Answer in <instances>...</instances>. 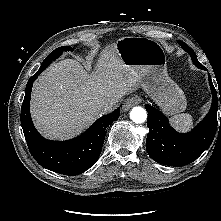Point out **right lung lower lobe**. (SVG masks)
Returning <instances> with one entry per match:
<instances>
[{
	"mask_svg": "<svg viewBox=\"0 0 221 221\" xmlns=\"http://www.w3.org/2000/svg\"><path fill=\"white\" fill-rule=\"evenodd\" d=\"M50 63L41 65L29 79L21 107V125L28 148L34 159L44 168L64 175L75 176L89 169L99 158L107 127L118 119L120 109L99 118L80 136L68 141L43 138L35 129L30 115L33 82Z\"/></svg>",
	"mask_w": 221,
	"mask_h": 221,
	"instance_id": "1",
	"label": "right lung lower lobe"
}]
</instances>
